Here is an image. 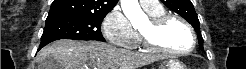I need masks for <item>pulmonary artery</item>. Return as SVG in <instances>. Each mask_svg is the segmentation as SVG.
I'll use <instances>...</instances> for the list:
<instances>
[{
    "instance_id": "1",
    "label": "pulmonary artery",
    "mask_w": 246,
    "mask_h": 69,
    "mask_svg": "<svg viewBox=\"0 0 246 69\" xmlns=\"http://www.w3.org/2000/svg\"><path fill=\"white\" fill-rule=\"evenodd\" d=\"M140 3L144 10L157 9L161 7L160 2L155 0H141Z\"/></svg>"
}]
</instances>
